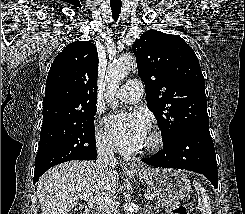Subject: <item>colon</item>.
I'll return each instance as SVG.
<instances>
[{
	"mask_svg": "<svg viewBox=\"0 0 245 214\" xmlns=\"http://www.w3.org/2000/svg\"><path fill=\"white\" fill-rule=\"evenodd\" d=\"M171 214H188V210L185 205L179 204L171 207Z\"/></svg>",
	"mask_w": 245,
	"mask_h": 214,
	"instance_id": "colon-1",
	"label": "colon"
}]
</instances>
